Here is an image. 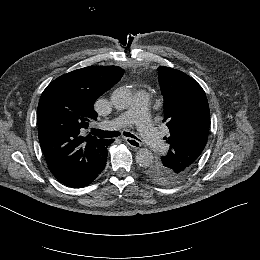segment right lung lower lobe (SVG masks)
<instances>
[{
  "label": "right lung lower lobe",
  "mask_w": 260,
  "mask_h": 260,
  "mask_svg": "<svg viewBox=\"0 0 260 260\" xmlns=\"http://www.w3.org/2000/svg\"><path fill=\"white\" fill-rule=\"evenodd\" d=\"M113 141V140H112ZM107 160V154L105 158L100 162L93 165L86 173L80 175H74L67 179L61 180L60 182L68 187L82 188L91 184L98 175L102 172L105 167Z\"/></svg>",
  "instance_id": "right-lung-lower-lobe-1"
}]
</instances>
